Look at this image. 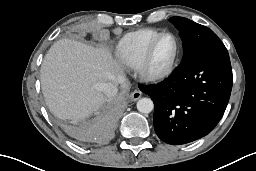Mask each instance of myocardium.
Instances as JSON below:
<instances>
[{"label": "myocardium", "mask_w": 256, "mask_h": 171, "mask_svg": "<svg viewBox=\"0 0 256 171\" xmlns=\"http://www.w3.org/2000/svg\"><path fill=\"white\" fill-rule=\"evenodd\" d=\"M165 37H172L175 42V52L170 63L162 69L152 67V56L157 44ZM180 56V43L175 34L163 32L154 38L148 45L145 54L138 66L140 76L148 82H158L166 79L174 71Z\"/></svg>", "instance_id": "f54148a6"}]
</instances>
